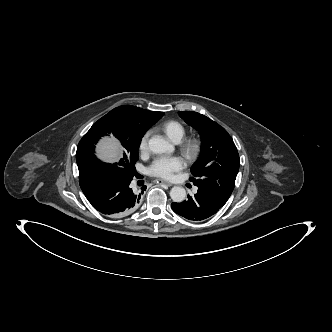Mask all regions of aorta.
Instances as JSON below:
<instances>
[{
  "instance_id": "1",
  "label": "aorta",
  "mask_w": 332,
  "mask_h": 332,
  "mask_svg": "<svg viewBox=\"0 0 332 332\" xmlns=\"http://www.w3.org/2000/svg\"><path fill=\"white\" fill-rule=\"evenodd\" d=\"M148 147L151 152L156 154L166 153L172 150V145L161 136H153L149 142ZM170 197L174 202L181 203L186 198V190L180 186H174L170 191Z\"/></svg>"
}]
</instances>
